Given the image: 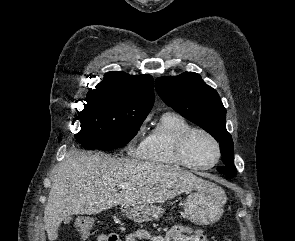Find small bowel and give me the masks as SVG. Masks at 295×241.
Instances as JSON below:
<instances>
[{"label": "small bowel", "instance_id": "small-bowel-1", "mask_svg": "<svg viewBox=\"0 0 295 241\" xmlns=\"http://www.w3.org/2000/svg\"><path fill=\"white\" fill-rule=\"evenodd\" d=\"M208 241L207 235L201 230H193L187 226L174 225L165 236L153 234L146 230H137L124 239L115 233L100 236L99 241Z\"/></svg>", "mask_w": 295, "mask_h": 241}]
</instances>
